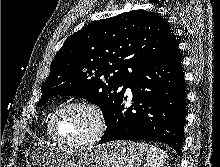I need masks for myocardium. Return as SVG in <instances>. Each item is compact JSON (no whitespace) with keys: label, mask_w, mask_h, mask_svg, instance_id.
Listing matches in <instances>:
<instances>
[{"label":"myocardium","mask_w":220,"mask_h":167,"mask_svg":"<svg viewBox=\"0 0 220 167\" xmlns=\"http://www.w3.org/2000/svg\"><path fill=\"white\" fill-rule=\"evenodd\" d=\"M71 107H79L87 110L95 120L94 130L86 137L73 140L60 139L55 130V122L57 117L64 110ZM107 129V122L104 113L95 105L87 101L74 100L61 105L51 116L49 121V133L53 141L63 146L81 147L94 144L102 139Z\"/></svg>","instance_id":"f54148a6"}]
</instances>
